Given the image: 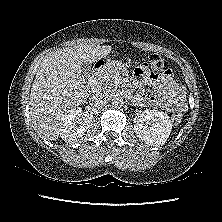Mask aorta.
Here are the masks:
<instances>
[{"mask_svg": "<svg viewBox=\"0 0 222 222\" xmlns=\"http://www.w3.org/2000/svg\"><path fill=\"white\" fill-rule=\"evenodd\" d=\"M123 99L120 98V97H116L113 99V106L116 107V108H119L123 105Z\"/></svg>", "mask_w": 222, "mask_h": 222, "instance_id": "aorta-1", "label": "aorta"}]
</instances>
